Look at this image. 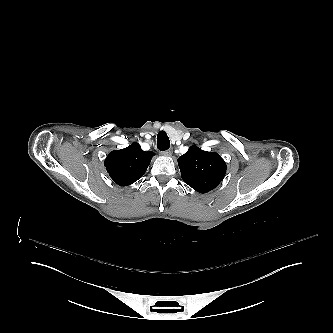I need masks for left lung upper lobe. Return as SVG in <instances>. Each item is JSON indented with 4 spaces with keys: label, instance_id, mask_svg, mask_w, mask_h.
<instances>
[{
    "label": "left lung upper lobe",
    "instance_id": "5c2ea615",
    "mask_svg": "<svg viewBox=\"0 0 333 333\" xmlns=\"http://www.w3.org/2000/svg\"><path fill=\"white\" fill-rule=\"evenodd\" d=\"M183 181L199 193L213 190L226 173V164L215 152L203 151L193 145L178 158Z\"/></svg>",
    "mask_w": 333,
    "mask_h": 333
}]
</instances>
